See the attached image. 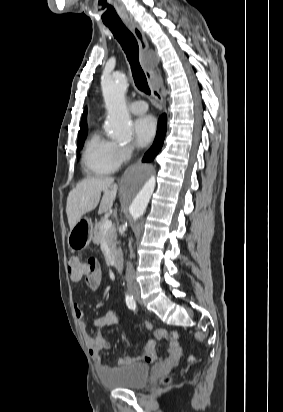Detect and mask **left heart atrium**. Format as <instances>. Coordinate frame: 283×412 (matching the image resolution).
<instances>
[{
    "label": "left heart atrium",
    "instance_id": "39dd6f15",
    "mask_svg": "<svg viewBox=\"0 0 283 412\" xmlns=\"http://www.w3.org/2000/svg\"><path fill=\"white\" fill-rule=\"evenodd\" d=\"M134 132L138 145L150 144L157 132L156 120L150 115L140 117L134 123Z\"/></svg>",
    "mask_w": 283,
    "mask_h": 412
}]
</instances>
